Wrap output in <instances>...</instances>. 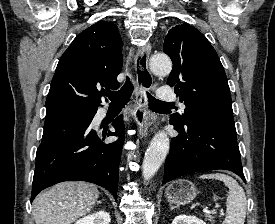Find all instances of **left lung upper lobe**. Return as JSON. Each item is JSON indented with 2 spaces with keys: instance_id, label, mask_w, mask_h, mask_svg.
I'll return each instance as SVG.
<instances>
[{
  "instance_id": "1",
  "label": "left lung upper lobe",
  "mask_w": 275,
  "mask_h": 224,
  "mask_svg": "<svg viewBox=\"0 0 275 224\" xmlns=\"http://www.w3.org/2000/svg\"><path fill=\"white\" fill-rule=\"evenodd\" d=\"M164 53L173 68L167 84L186 108L171 120L185 125L204 118L234 124L227 77L218 55L206 37L188 23L172 27L165 37Z\"/></svg>"
}]
</instances>
